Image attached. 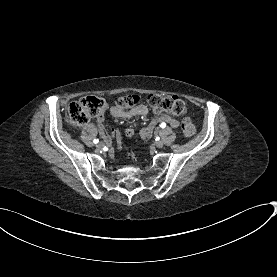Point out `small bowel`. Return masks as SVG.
<instances>
[{
    "label": "small bowel",
    "instance_id": "1",
    "mask_svg": "<svg viewBox=\"0 0 277 277\" xmlns=\"http://www.w3.org/2000/svg\"><path fill=\"white\" fill-rule=\"evenodd\" d=\"M111 113L114 117L121 118V119H124V120H129L131 118L138 117V116H147L150 113V110L144 104H137V105L133 106L128 111H123L119 108L113 107V108H111ZM102 122H103V115L100 114L96 117V123L98 124V129H99L100 134L105 136L103 138L104 153L107 156H110L112 154V150L110 149L111 140L107 136L105 127L103 126ZM159 122H164V123H166V124H168L172 127H177L178 126V120L176 118L172 117V116L164 115V116H161V117H156V118L152 119V121L145 128H143L140 131L141 137L142 138H149L153 133L155 125ZM111 132L113 134H116V136L119 135L118 129L116 127H113L111 129ZM125 132H126L125 137L127 139H130L134 136L133 129L131 127H127L125 129Z\"/></svg>",
    "mask_w": 277,
    "mask_h": 277
}]
</instances>
